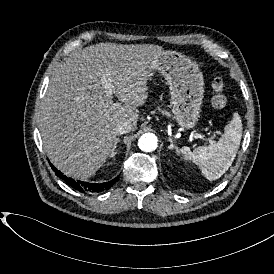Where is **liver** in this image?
I'll return each mask as SVG.
<instances>
[{"instance_id":"obj_1","label":"liver","mask_w":274,"mask_h":274,"mask_svg":"<svg viewBox=\"0 0 274 274\" xmlns=\"http://www.w3.org/2000/svg\"><path fill=\"white\" fill-rule=\"evenodd\" d=\"M163 52L152 44L98 43L73 51L55 70L40 106V133L58 170L81 180L95 175L113 151L116 124L136 127L150 64ZM104 77L120 102L106 95Z\"/></svg>"}]
</instances>
